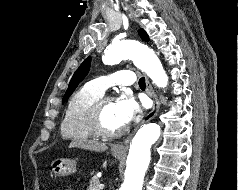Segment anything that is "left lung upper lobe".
I'll return each instance as SVG.
<instances>
[{
    "instance_id": "1",
    "label": "left lung upper lobe",
    "mask_w": 238,
    "mask_h": 190,
    "mask_svg": "<svg viewBox=\"0 0 238 190\" xmlns=\"http://www.w3.org/2000/svg\"><path fill=\"white\" fill-rule=\"evenodd\" d=\"M139 35L142 38V40L149 41L148 35L143 29L139 30ZM90 62H91V58L88 57L87 59L84 60V62L79 66V68L74 73V75L69 83L68 89L63 97V101H62L63 103L70 97V95L76 89L78 84L83 80V78L89 72Z\"/></svg>"
}]
</instances>
